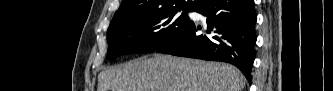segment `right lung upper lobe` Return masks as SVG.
Here are the masks:
<instances>
[{"label":"right lung upper lobe","mask_w":333,"mask_h":91,"mask_svg":"<svg viewBox=\"0 0 333 91\" xmlns=\"http://www.w3.org/2000/svg\"><path fill=\"white\" fill-rule=\"evenodd\" d=\"M206 0H123L111 23L125 22L165 11H195Z\"/></svg>","instance_id":"1"}]
</instances>
